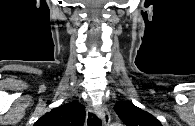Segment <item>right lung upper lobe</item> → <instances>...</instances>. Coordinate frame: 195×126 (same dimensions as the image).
Here are the masks:
<instances>
[{
    "label": "right lung upper lobe",
    "instance_id": "cb5924a9",
    "mask_svg": "<svg viewBox=\"0 0 195 126\" xmlns=\"http://www.w3.org/2000/svg\"><path fill=\"white\" fill-rule=\"evenodd\" d=\"M84 119L85 107L73 101L47 112L34 126H82Z\"/></svg>",
    "mask_w": 195,
    "mask_h": 126
}]
</instances>
